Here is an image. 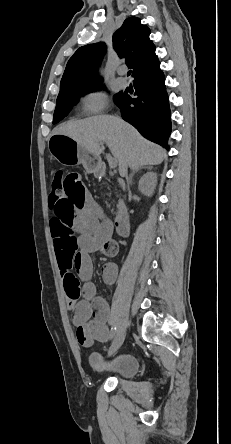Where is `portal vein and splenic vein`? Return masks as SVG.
Returning <instances> with one entry per match:
<instances>
[{
	"mask_svg": "<svg viewBox=\"0 0 231 444\" xmlns=\"http://www.w3.org/2000/svg\"><path fill=\"white\" fill-rule=\"evenodd\" d=\"M108 163H109V167L111 168V169H114L116 166H117V160H116V158H114V157H109L108 158Z\"/></svg>",
	"mask_w": 231,
	"mask_h": 444,
	"instance_id": "18ae733b",
	"label": "portal vein and splenic vein"
}]
</instances>
